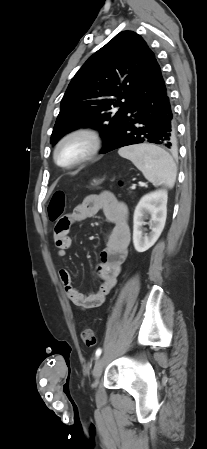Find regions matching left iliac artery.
<instances>
[{"label": "left iliac artery", "instance_id": "left-iliac-artery-1", "mask_svg": "<svg viewBox=\"0 0 207 449\" xmlns=\"http://www.w3.org/2000/svg\"><path fill=\"white\" fill-rule=\"evenodd\" d=\"M101 353H102L101 348H98V349L96 350V352H95L96 358H98V357L101 355Z\"/></svg>", "mask_w": 207, "mask_h": 449}]
</instances>
